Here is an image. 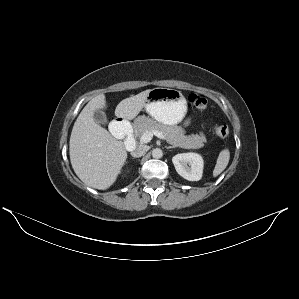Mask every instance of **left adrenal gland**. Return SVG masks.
<instances>
[{
	"mask_svg": "<svg viewBox=\"0 0 299 299\" xmlns=\"http://www.w3.org/2000/svg\"><path fill=\"white\" fill-rule=\"evenodd\" d=\"M167 149L175 148L174 146H168L166 147Z\"/></svg>",
	"mask_w": 299,
	"mask_h": 299,
	"instance_id": "obj_1",
	"label": "left adrenal gland"
}]
</instances>
